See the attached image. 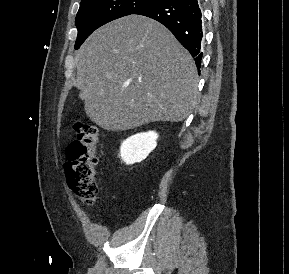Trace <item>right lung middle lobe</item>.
Listing matches in <instances>:
<instances>
[{"label":"right lung middle lobe","instance_id":"obj_1","mask_svg":"<svg viewBox=\"0 0 289 274\" xmlns=\"http://www.w3.org/2000/svg\"><path fill=\"white\" fill-rule=\"evenodd\" d=\"M157 0H82L76 16L78 36L75 49L100 26L138 10Z\"/></svg>","mask_w":289,"mask_h":274}]
</instances>
